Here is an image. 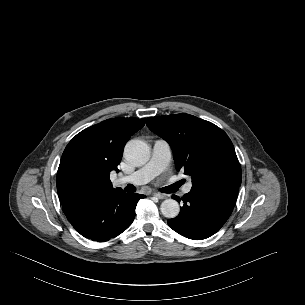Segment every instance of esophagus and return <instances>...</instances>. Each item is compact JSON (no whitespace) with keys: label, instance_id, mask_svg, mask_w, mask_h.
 <instances>
[{"label":"esophagus","instance_id":"1","mask_svg":"<svg viewBox=\"0 0 305 305\" xmlns=\"http://www.w3.org/2000/svg\"><path fill=\"white\" fill-rule=\"evenodd\" d=\"M153 195L158 199H166L168 197L167 195L158 192L153 193Z\"/></svg>","mask_w":305,"mask_h":305}]
</instances>
